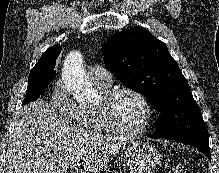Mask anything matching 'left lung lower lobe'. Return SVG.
Wrapping results in <instances>:
<instances>
[{"label": "left lung lower lobe", "mask_w": 219, "mask_h": 173, "mask_svg": "<svg viewBox=\"0 0 219 173\" xmlns=\"http://www.w3.org/2000/svg\"><path fill=\"white\" fill-rule=\"evenodd\" d=\"M149 137L160 138V137H153L152 135H150ZM173 139L198 148L202 153H204L208 157L209 160H211L208 138L199 137V136H189V137L173 138Z\"/></svg>", "instance_id": "obj_1"}]
</instances>
